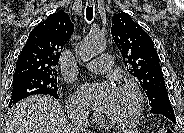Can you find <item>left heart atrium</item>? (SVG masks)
<instances>
[{
  "instance_id": "1",
  "label": "left heart atrium",
  "mask_w": 184,
  "mask_h": 133,
  "mask_svg": "<svg viewBox=\"0 0 184 133\" xmlns=\"http://www.w3.org/2000/svg\"><path fill=\"white\" fill-rule=\"evenodd\" d=\"M115 88L110 83L84 84L80 88V95L87 104L95 110L105 111L110 105L114 95Z\"/></svg>"
}]
</instances>
